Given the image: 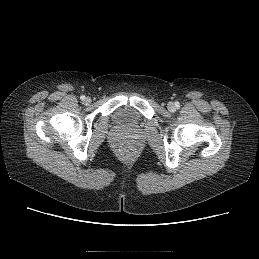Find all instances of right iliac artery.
<instances>
[{"label": "right iliac artery", "instance_id": "right-iliac-artery-1", "mask_svg": "<svg viewBox=\"0 0 259 259\" xmlns=\"http://www.w3.org/2000/svg\"><path fill=\"white\" fill-rule=\"evenodd\" d=\"M80 99H81V100H85L86 97H85L84 95H82V96L80 97Z\"/></svg>", "mask_w": 259, "mask_h": 259}]
</instances>
